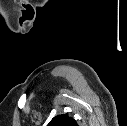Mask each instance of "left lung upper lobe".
Returning a JSON list of instances; mask_svg holds the SVG:
<instances>
[{
	"label": "left lung upper lobe",
	"instance_id": "obj_1",
	"mask_svg": "<svg viewBox=\"0 0 127 126\" xmlns=\"http://www.w3.org/2000/svg\"><path fill=\"white\" fill-rule=\"evenodd\" d=\"M47 126H77V122L68 115L55 116Z\"/></svg>",
	"mask_w": 127,
	"mask_h": 126
}]
</instances>
